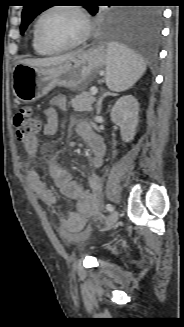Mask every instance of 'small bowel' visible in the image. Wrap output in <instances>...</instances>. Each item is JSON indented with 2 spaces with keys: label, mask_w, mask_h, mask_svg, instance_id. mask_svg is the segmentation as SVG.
Listing matches in <instances>:
<instances>
[{
  "label": "small bowel",
  "mask_w": 184,
  "mask_h": 327,
  "mask_svg": "<svg viewBox=\"0 0 184 327\" xmlns=\"http://www.w3.org/2000/svg\"><path fill=\"white\" fill-rule=\"evenodd\" d=\"M67 100L63 95H55L50 100V107L43 111L46 122L40 130L39 136L47 137L56 133L58 128V115L56 109L65 110ZM77 133L88 144L93 153V165L98 168L102 165L105 154V145L101 136L96 134L89 124L79 123L76 126ZM26 153L36 157L39 151L38 137H34L24 144ZM50 176L61 194L70 200L75 201L74 210L63 220V227L69 233H76L83 229L88 218L93 217L98 210V195L101 187V180L97 174H93L88 180V188H83L78 182L72 179L71 175L55 163L49 165ZM28 184L34 194L44 203L57 206L58 199L49 189L47 182L36 171L28 174Z\"/></svg>",
  "instance_id": "small-bowel-1"
}]
</instances>
